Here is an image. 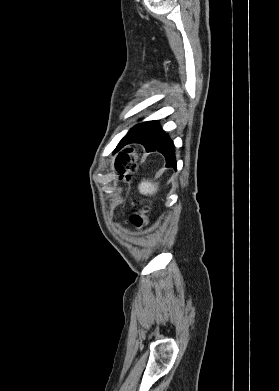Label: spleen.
Listing matches in <instances>:
<instances>
[{
    "label": "spleen",
    "mask_w": 279,
    "mask_h": 391,
    "mask_svg": "<svg viewBox=\"0 0 279 391\" xmlns=\"http://www.w3.org/2000/svg\"><path fill=\"white\" fill-rule=\"evenodd\" d=\"M158 183L144 180L139 184V192L143 195H153L157 192Z\"/></svg>",
    "instance_id": "obj_1"
}]
</instances>
